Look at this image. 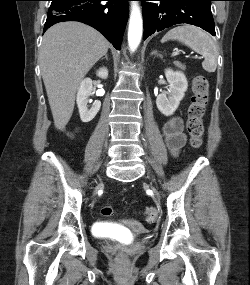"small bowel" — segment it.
<instances>
[{
    "label": "small bowel",
    "instance_id": "small-bowel-1",
    "mask_svg": "<svg viewBox=\"0 0 250 285\" xmlns=\"http://www.w3.org/2000/svg\"><path fill=\"white\" fill-rule=\"evenodd\" d=\"M163 132L168 148L173 155H177L186 141L182 119L177 116L171 117L164 124Z\"/></svg>",
    "mask_w": 250,
    "mask_h": 285
}]
</instances>
